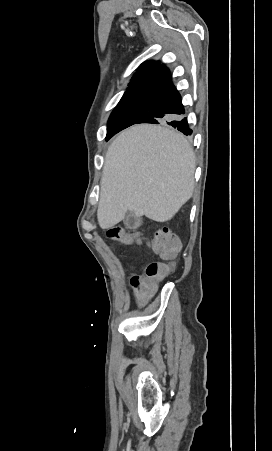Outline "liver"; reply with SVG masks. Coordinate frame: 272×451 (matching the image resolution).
I'll return each instance as SVG.
<instances>
[{
  "label": "liver",
  "mask_w": 272,
  "mask_h": 451,
  "mask_svg": "<svg viewBox=\"0 0 272 451\" xmlns=\"http://www.w3.org/2000/svg\"><path fill=\"white\" fill-rule=\"evenodd\" d=\"M195 156L185 136L140 124L121 132L105 156L97 210L102 229L126 212L168 222L194 192Z\"/></svg>",
  "instance_id": "1"
}]
</instances>
